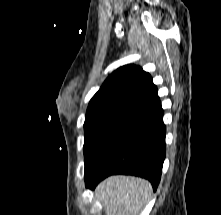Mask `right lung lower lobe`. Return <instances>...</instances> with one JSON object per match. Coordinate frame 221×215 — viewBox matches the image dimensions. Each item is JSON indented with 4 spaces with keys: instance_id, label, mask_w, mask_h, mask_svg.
I'll return each mask as SVG.
<instances>
[{
    "instance_id": "98d812e1",
    "label": "right lung lower lobe",
    "mask_w": 221,
    "mask_h": 215,
    "mask_svg": "<svg viewBox=\"0 0 221 215\" xmlns=\"http://www.w3.org/2000/svg\"><path fill=\"white\" fill-rule=\"evenodd\" d=\"M165 134L158 98L137 109L107 140L85 170L86 187L94 189L112 174H128L149 180L156 191L165 158Z\"/></svg>"
}]
</instances>
